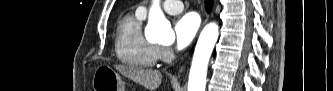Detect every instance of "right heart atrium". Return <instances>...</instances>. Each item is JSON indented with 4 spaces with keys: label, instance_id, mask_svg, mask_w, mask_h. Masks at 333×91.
<instances>
[{
    "label": "right heart atrium",
    "instance_id": "right-heart-atrium-1",
    "mask_svg": "<svg viewBox=\"0 0 333 91\" xmlns=\"http://www.w3.org/2000/svg\"><path fill=\"white\" fill-rule=\"evenodd\" d=\"M158 59L162 61H168L172 58L173 52L171 48L167 46H160L158 47Z\"/></svg>",
    "mask_w": 333,
    "mask_h": 91
}]
</instances>
